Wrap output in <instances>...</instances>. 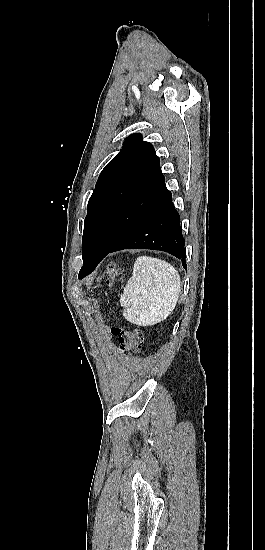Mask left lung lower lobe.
Segmentation results:
<instances>
[{"label": "left lung lower lobe", "mask_w": 265, "mask_h": 550, "mask_svg": "<svg viewBox=\"0 0 265 550\" xmlns=\"http://www.w3.org/2000/svg\"><path fill=\"white\" fill-rule=\"evenodd\" d=\"M185 242L181 233L180 216L168 191L150 208L109 250H91L83 259L79 279L92 273L109 253L122 249H152L168 252L185 259ZM183 266L187 269L186 263Z\"/></svg>", "instance_id": "1"}]
</instances>
